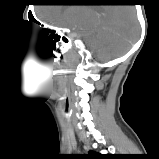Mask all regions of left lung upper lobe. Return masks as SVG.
Segmentation results:
<instances>
[{
  "label": "left lung upper lobe",
  "mask_w": 159,
  "mask_h": 159,
  "mask_svg": "<svg viewBox=\"0 0 159 159\" xmlns=\"http://www.w3.org/2000/svg\"><path fill=\"white\" fill-rule=\"evenodd\" d=\"M85 159H110V156L108 155H101L97 154L95 152H90Z\"/></svg>",
  "instance_id": "left-lung-upper-lobe-1"
}]
</instances>
